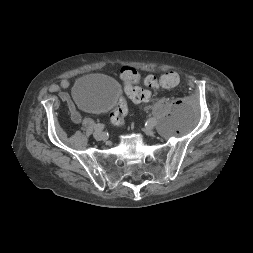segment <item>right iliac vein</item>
<instances>
[{
  "label": "right iliac vein",
  "mask_w": 253,
  "mask_h": 253,
  "mask_svg": "<svg viewBox=\"0 0 253 253\" xmlns=\"http://www.w3.org/2000/svg\"><path fill=\"white\" fill-rule=\"evenodd\" d=\"M94 137L97 140H104V139H106V135L103 132H101V131H95L94 132Z\"/></svg>",
  "instance_id": "right-iliac-vein-1"
}]
</instances>
